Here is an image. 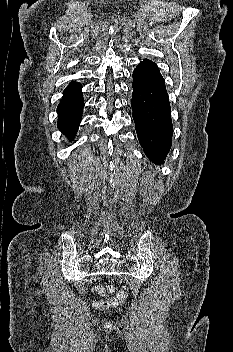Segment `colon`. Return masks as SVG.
<instances>
[{
  "mask_svg": "<svg viewBox=\"0 0 233 352\" xmlns=\"http://www.w3.org/2000/svg\"><path fill=\"white\" fill-rule=\"evenodd\" d=\"M96 290L100 293L104 292L105 288L102 286H99L96 288ZM108 290L110 292H115L116 289L113 286H109ZM125 300V293L124 292H116V294L106 300H100L95 303L97 308H109V307H115L119 304H121Z\"/></svg>",
  "mask_w": 233,
  "mask_h": 352,
  "instance_id": "1",
  "label": "colon"
}]
</instances>
